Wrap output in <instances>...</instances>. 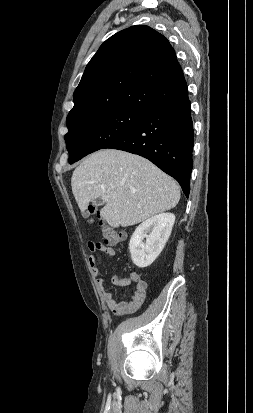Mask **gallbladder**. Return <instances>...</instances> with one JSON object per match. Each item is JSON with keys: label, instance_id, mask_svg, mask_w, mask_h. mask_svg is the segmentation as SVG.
<instances>
[{"label": "gallbladder", "instance_id": "bac80fb5", "mask_svg": "<svg viewBox=\"0 0 253 413\" xmlns=\"http://www.w3.org/2000/svg\"><path fill=\"white\" fill-rule=\"evenodd\" d=\"M104 204V201H103V199H101V198H97V199H95L94 201H93V205L94 206H101V205H103Z\"/></svg>", "mask_w": 253, "mask_h": 413}]
</instances>
